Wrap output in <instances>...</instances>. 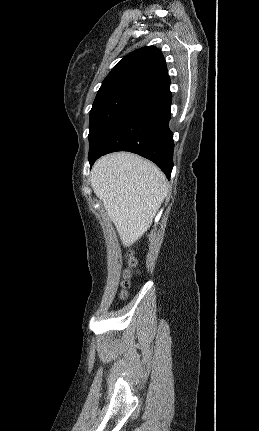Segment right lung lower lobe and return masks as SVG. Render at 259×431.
Returning <instances> with one entry per match:
<instances>
[{"label":"right lung lower lobe","instance_id":"right-lung-lower-lobe-1","mask_svg":"<svg viewBox=\"0 0 259 431\" xmlns=\"http://www.w3.org/2000/svg\"><path fill=\"white\" fill-rule=\"evenodd\" d=\"M170 84L155 89L134 103L89 151L92 165L100 156L129 151L153 161L170 178L173 168V133Z\"/></svg>","mask_w":259,"mask_h":431}]
</instances>
